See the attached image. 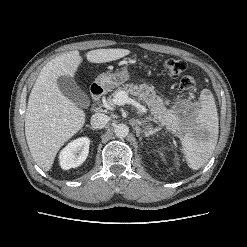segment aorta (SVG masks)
<instances>
[{"mask_svg":"<svg viewBox=\"0 0 247 247\" xmlns=\"http://www.w3.org/2000/svg\"><path fill=\"white\" fill-rule=\"evenodd\" d=\"M115 135L119 138H124L129 134V128L125 124H117L114 128Z\"/></svg>","mask_w":247,"mask_h":247,"instance_id":"762f6f07","label":"aorta"}]
</instances>
